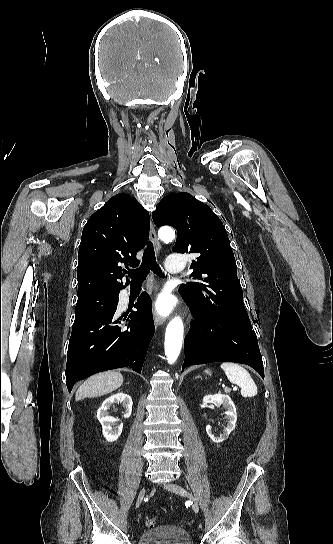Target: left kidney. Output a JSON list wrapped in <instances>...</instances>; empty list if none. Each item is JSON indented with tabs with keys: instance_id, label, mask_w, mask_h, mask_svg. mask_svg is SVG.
I'll use <instances>...</instances> for the list:
<instances>
[{
	"instance_id": "obj_1",
	"label": "left kidney",
	"mask_w": 333,
	"mask_h": 544,
	"mask_svg": "<svg viewBox=\"0 0 333 544\" xmlns=\"http://www.w3.org/2000/svg\"><path fill=\"white\" fill-rule=\"evenodd\" d=\"M203 403H212L216 407L222 405L226 409L225 415L228 421L222 433L216 435L212 432L210 425L206 426V432L212 441L215 443H221L229 437L231 431H233L235 428V423L237 421L236 407L229 396L220 393L204 396Z\"/></svg>"
}]
</instances>
